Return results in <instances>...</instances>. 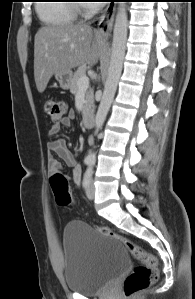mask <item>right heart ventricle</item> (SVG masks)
Segmentation results:
<instances>
[{
  "label": "right heart ventricle",
  "instance_id": "e07e8e85",
  "mask_svg": "<svg viewBox=\"0 0 195 299\" xmlns=\"http://www.w3.org/2000/svg\"><path fill=\"white\" fill-rule=\"evenodd\" d=\"M39 3L37 14L46 26H65L72 24L76 19L73 5L69 1L51 0Z\"/></svg>",
  "mask_w": 195,
  "mask_h": 299
}]
</instances>
